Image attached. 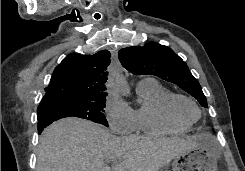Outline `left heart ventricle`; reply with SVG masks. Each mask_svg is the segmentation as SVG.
Returning a JSON list of instances; mask_svg holds the SVG:
<instances>
[{"label": "left heart ventricle", "instance_id": "left-heart-ventricle-1", "mask_svg": "<svg viewBox=\"0 0 245 171\" xmlns=\"http://www.w3.org/2000/svg\"><path fill=\"white\" fill-rule=\"evenodd\" d=\"M176 111L186 121H194L198 117V111L195 106L185 100H179L176 103Z\"/></svg>", "mask_w": 245, "mask_h": 171}]
</instances>
